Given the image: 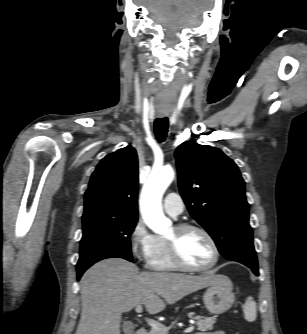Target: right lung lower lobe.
<instances>
[{
	"mask_svg": "<svg viewBox=\"0 0 307 334\" xmlns=\"http://www.w3.org/2000/svg\"><path fill=\"white\" fill-rule=\"evenodd\" d=\"M83 272H77V279L79 280L80 277L82 276Z\"/></svg>",
	"mask_w": 307,
	"mask_h": 334,
	"instance_id": "obj_1",
	"label": "right lung lower lobe"
}]
</instances>
